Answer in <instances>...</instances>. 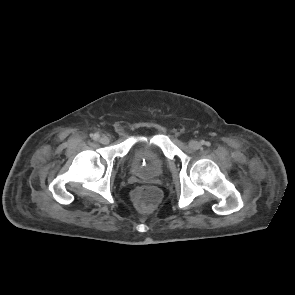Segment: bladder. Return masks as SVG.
<instances>
[{
  "label": "bladder",
  "mask_w": 295,
  "mask_h": 295,
  "mask_svg": "<svg viewBox=\"0 0 295 295\" xmlns=\"http://www.w3.org/2000/svg\"><path fill=\"white\" fill-rule=\"evenodd\" d=\"M129 166L136 176L153 179L163 174L166 158L160 151L153 148L137 146L129 154Z\"/></svg>",
  "instance_id": "obj_1"
}]
</instances>
